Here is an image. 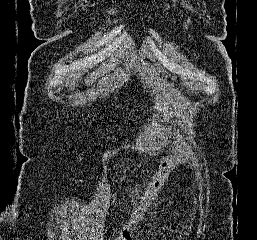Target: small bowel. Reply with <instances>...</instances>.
<instances>
[{
  "mask_svg": "<svg viewBox=\"0 0 257 240\" xmlns=\"http://www.w3.org/2000/svg\"><path fill=\"white\" fill-rule=\"evenodd\" d=\"M60 232V231H59ZM60 238L62 239V240H72L68 235H66V234H61L60 235Z\"/></svg>",
  "mask_w": 257,
  "mask_h": 240,
  "instance_id": "c3829d8e",
  "label": "small bowel"
}]
</instances>
